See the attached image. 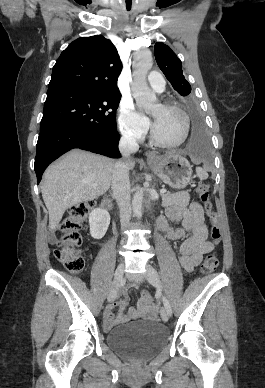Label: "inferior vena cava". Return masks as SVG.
<instances>
[{"label": "inferior vena cava", "instance_id": "inferior-vena-cava-1", "mask_svg": "<svg viewBox=\"0 0 265 388\" xmlns=\"http://www.w3.org/2000/svg\"><path fill=\"white\" fill-rule=\"evenodd\" d=\"M118 148L122 158L119 162H116L112 170V194L119 206L121 226H126L131 218L129 166L127 160L130 154L138 152L139 146L133 136L123 134Z\"/></svg>", "mask_w": 265, "mask_h": 388}]
</instances>
